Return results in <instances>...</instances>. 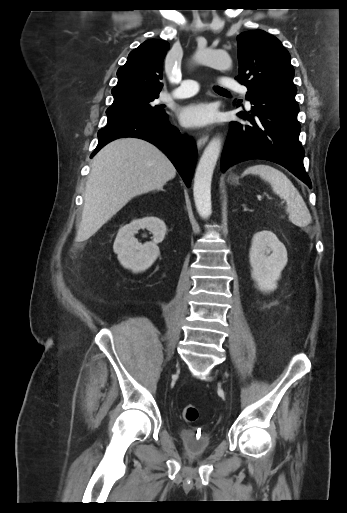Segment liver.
I'll return each instance as SVG.
<instances>
[{
	"label": "liver",
	"instance_id": "6515ba94",
	"mask_svg": "<svg viewBox=\"0 0 347 513\" xmlns=\"http://www.w3.org/2000/svg\"><path fill=\"white\" fill-rule=\"evenodd\" d=\"M175 175L173 164L153 144L140 138L110 142L93 158L76 239H89L132 198L161 190Z\"/></svg>",
	"mask_w": 347,
	"mask_h": 513
}]
</instances>
